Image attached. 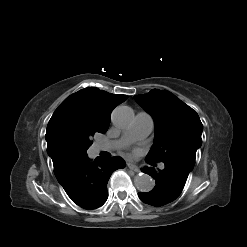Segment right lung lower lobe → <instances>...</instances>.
Returning <instances> with one entry per match:
<instances>
[{
  "label": "right lung lower lobe",
  "mask_w": 247,
  "mask_h": 247,
  "mask_svg": "<svg viewBox=\"0 0 247 247\" xmlns=\"http://www.w3.org/2000/svg\"><path fill=\"white\" fill-rule=\"evenodd\" d=\"M124 160L97 157L63 161L54 166V173L71 200L84 209L101 207L108 198L107 182L113 171L124 168Z\"/></svg>",
  "instance_id": "1"
}]
</instances>
